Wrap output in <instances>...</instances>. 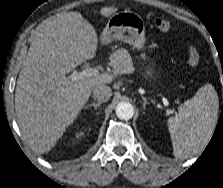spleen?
Returning a JSON list of instances; mask_svg holds the SVG:
<instances>
[{
	"instance_id": "obj_1",
	"label": "spleen",
	"mask_w": 223,
	"mask_h": 188,
	"mask_svg": "<svg viewBox=\"0 0 223 188\" xmlns=\"http://www.w3.org/2000/svg\"><path fill=\"white\" fill-rule=\"evenodd\" d=\"M218 96L207 84L178 108V114L167 120L174 155L187 157L212 132L218 113Z\"/></svg>"
}]
</instances>
